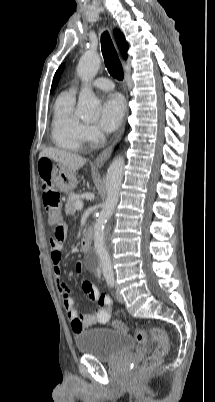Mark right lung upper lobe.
Wrapping results in <instances>:
<instances>
[{"label":"right lung upper lobe","mask_w":215,"mask_h":402,"mask_svg":"<svg viewBox=\"0 0 215 402\" xmlns=\"http://www.w3.org/2000/svg\"><path fill=\"white\" fill-rule=\"evenodd\" d=\"M114 35H115V38H116L117 45H118L121 53L123 54L124 58L126 59L127 58L128 44H127V42L125 40V37L118 30L114 31ZM63 69H64V65L62 64L59 67V69L56 71V73L54 75V78H53V82H52L51 92H53V90L55 89V87H56V85H57V83H58V81L60 79V75H61V72L63 71Z\"/></svg>","instance_id":"cb5924a9"}]
</instances>
